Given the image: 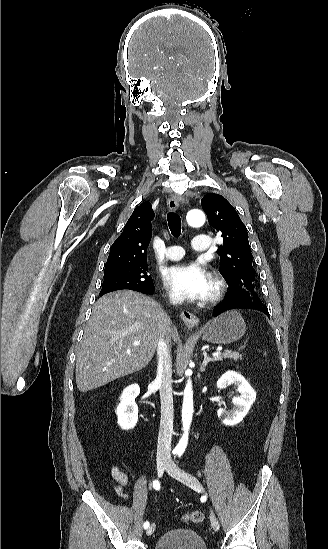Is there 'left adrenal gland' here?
<instances>
[{
    "mask_svg": "<svg viewBox=\"0 0 328 549\" xmlns=\"http://www.w3.org/2000/svg\"><path fill=\"white\" fill-rule=\"evenodd\" d=\"M203 357H204V361L200 367V371H205V367H207L208 363H210V361H214V359H210V357H208L206 351H203L202 353Z\"/></svg>",
    "mask_w": 328,
    "mask_h": 549,
    "instance_id": "obj_1",
    "label": "left adrenal gland"
}]
</instances>
